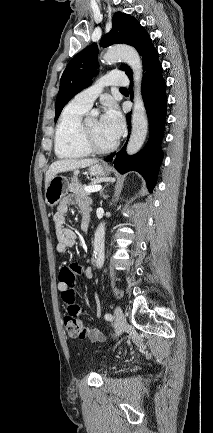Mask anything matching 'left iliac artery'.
I'll return each instance as SVG.
<instances>
[{"instance_id": "left-iliac-artery-1", "label": "left iliac artery", "mask_w": 213, "mask_h": 433, "mask_svg": "<svg viewBox=\"0 0 213 433\" xmlns=\"http://www.w3.org/2000/svg\"><path fill=\"white\" fill-rule=\"evenodd\" d=\"M104 317L108 321H111L113 319V316L111 314H109V313H106Z\"/></svg>"}]
</instances>
